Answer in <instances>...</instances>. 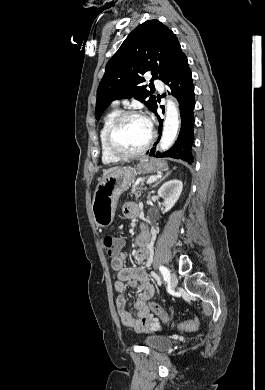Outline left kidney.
Listing matches in <instances>:
<instances>
[{"mask_svg":"<svg viewBox=\"0 0 265 390\" xmlns=\"http://www.w3.org/2000/svg\"><path fill=\"white\" fill-rule=\"evenodd\" d=\"M183 189L180 180L173 179L165 182L158 190V196L163 198L165 211L168 212L179 199Z\"/></svg>","mask_w":265,"mask_h":390,"instance_id":"1","label":"left kidney"}]
</instances>
